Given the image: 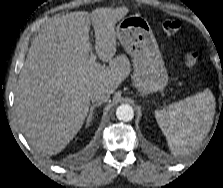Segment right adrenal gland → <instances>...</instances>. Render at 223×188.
Segmentation results:
<instances>
[{"label":"right adrenal gland","mask_w":223,"mask_h":188,"mask_svg":"<svg viewBox=\"0 0 223 188\" xmlns=\"http://www.w3.org/2000/svg\"><path fill=\"white\" fill-rule=\"evenodd\" d=\"M98 106H100V104H93V105H91L89 114H88V116H87L86 127H88L89 124H90V122H91V119H92V116H93V110H94L96 107H98Z\"/></svg>","instance_id":"2a0ac1e0"}]
</instances>
